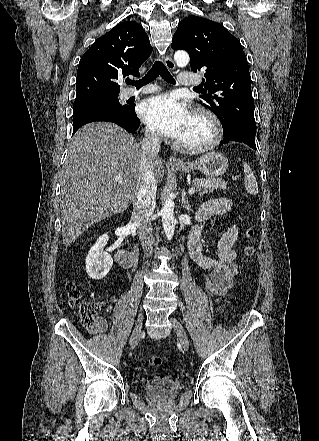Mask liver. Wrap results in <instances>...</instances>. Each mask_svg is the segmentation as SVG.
<instances>
[{"label": "liver", "mask_w": 319, "mask_h": 441, "mask_svg": "<svg viewBox=\"0 0 319 441\" xmlns=\"http://www.w3.org/2000/svg\"><path fill=\"white\" fill-rule=\"evenodd\" d=\"M142 149L123 128L93 122L72 137L60 174L62 238L70 246L90 226L122 212L136 199ZM156 182L164 177L161 159L152 162ZM117 176L122 181L116 180Z\"/></svg>", "instance_id": "obj_1"}]
</instances>
